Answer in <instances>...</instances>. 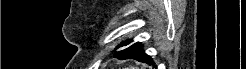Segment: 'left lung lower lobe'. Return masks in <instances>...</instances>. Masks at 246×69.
Here are the masks:
<instances>
[{"label":"left lung lower lobe","instance_id":"obj_1","mask_svg":"<svg viewBox=\"0 0 246 69\" xmlns=\"http://www.w3.org/2000/svg\"><path fill=\"white\" fill-rule=\"evenodd\" d=\"M142 44L137 42L130 47L119 51L114 54V57L124 60V59H135L139 62L147 63L149 65H154L152 58L147 55L142 49Z\"/></svg>","mask_w":246,"mask_h":69}]
</instances>
